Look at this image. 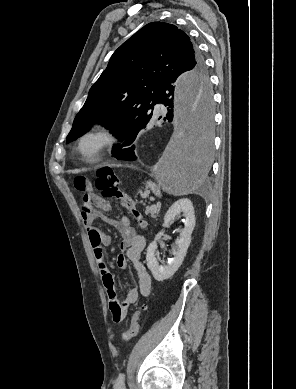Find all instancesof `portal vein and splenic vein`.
<instances>
[{
	"mask_svg": "<svg viewBox=\"0 0 296 389\" xmlns=\"http://www.w3.org/2000/svg\"><path fill=\"white\" fill-rule=\"evenodd\" d=\"M155 207H156V206H155V205H153V206H152V210H156V208H155Z\"/></svg>",
	"mask_w": 296,
	"mask_h": 389,
	"instance_id": "portal-vein-and-splenic-vein-1",
	"label": "portal vein and splenic vein"
}]
</instances>
